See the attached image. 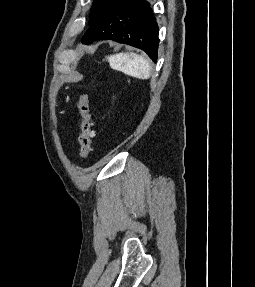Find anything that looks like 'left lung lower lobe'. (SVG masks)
<instances>
[{
  "instance_id": "0a47b994",
  "label": "left lung lower lobe",
  "mask_w": 255,
  "mask_h": 287,
  "mask_svg": "<svg viewBox=\"0 0 255 287\" xmlns=\"http://www.w3.org/2000/svg\"><path fill=\"white\" fill-rule=\"evenodd\" d=\"M110 39L144 50L157 60L158 25L149 3L143 0H115L84 34L85 44Z\"/></svg>"
}]
</instances>
